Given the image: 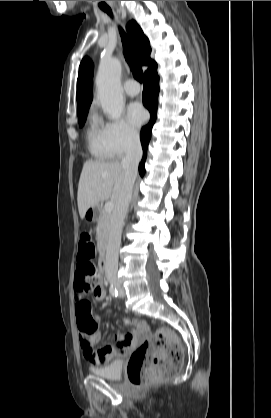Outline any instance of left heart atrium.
Listing matches in <instances>:
<instances>
[{
  "label": "left heart atrium",
  "instance_id": "left-heart-atrium-1",
  "mask_svg": "<svg viewBox=\"0 0 271 418\" xmlns=\"http://www.w3.org/2000/svg\"><path fill=\"white\" fill-rule=\"evenodd\" d=\"M145 110L141 104L133 102L128 106L127 116L130 123L134 126H139L145 120Z\"/></svg>",
  "mask_w": 271,
  "mask_h": 418
}]
</instances>
